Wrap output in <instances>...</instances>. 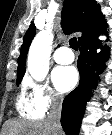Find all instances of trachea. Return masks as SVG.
<instances>
[{"mask_svg": "<svg viewBox=\"0 0 112 135\" xmlns=\"http://www.w3.org/2000/svg\"><path fill=\"white\" fill-rule=\"evenodd\" d=\"M69 44H70V47L77 51L78 50V42H77V38L76 37H73L69 40Z\"/></svg>", "mask_w": 112, "mask_h": 135, "instance_id": "obj_1", "label": "trachea"}]
</instances>
